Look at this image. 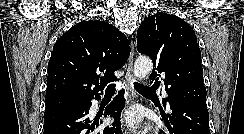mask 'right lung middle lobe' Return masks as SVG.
Masks as SVG:
<instances>
[{
    "label": "right lung middle lobe",
    "instance_id": "obj_1",
    "mask_svg": "<svg viewBox=\"0 0 244 134\" xmlns=\"http://www.w3.org/2000/svg\"><path fill=\"white\" fill-rule=\"evenodd\" d=\"M83 101L82 99L70 98V97H62L53 100L46 101V109L45 113L52 111L54 109H58L73 103H77Z\"/></svg>",
    "mask_w": 244,
    "mask_h": 134
}]
</instances>
